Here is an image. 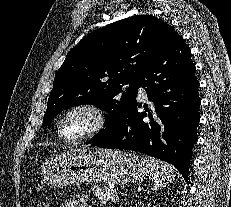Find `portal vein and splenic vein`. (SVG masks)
I'll list each match as a JSON object with an SVG mask.
<instances>
[{
  "label": "portal vein and splenic vein",
  "instance_id": "portal-vein-and-splenic-vein-1",
  "mask_svg": "<svg viewBox=\"0 0 231 207\" xmlns=\"http://www.w3.org/2000/svg\"><path fill=\"white\" fill-rule=\"evenodd\" d=\"M117 198H118V197L116 196V197L114 198V200H117Z\"/></svg>",
  "mask_w": 231,
  "mask_h": 207
}]
</instances>
